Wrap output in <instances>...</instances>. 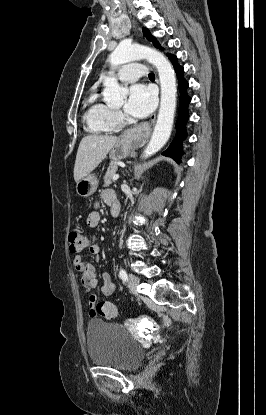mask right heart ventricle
Returning a JSON list of instances; mask_svg holds the SVG:
<instances>
[{
  "label": "right heart ventricle",
  "mask_w": 266,
  "mask_h": 415,
  "mask_svg": "<svg viewBox=\"0 0 266 415\" xmlns=\"http://www.w3.org/2000/svg\"><path fill=\"white\" fill-rule=\"evenodd\" d=\"M109 112L110 108L100 100V95L93 92L88 98L84 119L93 132H109L114 128L109 121Z\"/></svg>",
  "instance_id": "right-heart-ventricle-1"
}]
</instances>
